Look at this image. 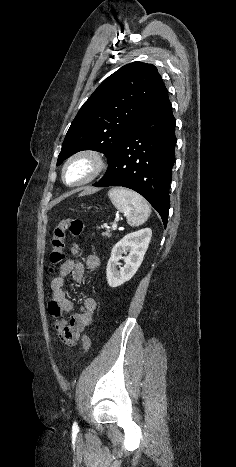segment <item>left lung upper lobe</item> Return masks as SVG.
<instances>
[{"instance_id":"1","label":"left lung upper lobe","mask_w":236,"mask_h":467,"mask_svg":"<svg viewBox=\"0 0 236 467\" xmlns=\"http://www.w3.org/2000/svg\"><path fill=\"white\" fill-rule=\"evenodd\" d=\"M167 94L154 65L133 62L123 66L82 105L66 134L57 165L81 150L102 152L109 162L129 130Z\"/></svg>"}]
</instances>
